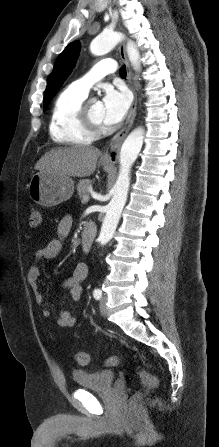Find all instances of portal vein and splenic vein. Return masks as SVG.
<instances>
[{
	"label": "portal vein and splenic vein",
	"mask_w": 219,
	"mask_h": 447,
	"mask_svg": "<svg viewBox=\"0 0 219 447\" xmlns=\"http://www.w3.org/2000/svg\"><path fill=\"white\" fill-rule=\"evenodd\" d=\"M88 201H89V195H85V196L82 198V202L85 203V202H88Z\"/></svg>",
	"instance_id": "1"
}]
</instances>
